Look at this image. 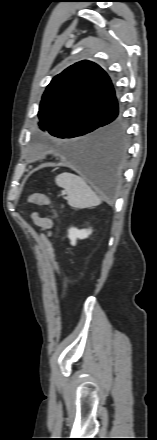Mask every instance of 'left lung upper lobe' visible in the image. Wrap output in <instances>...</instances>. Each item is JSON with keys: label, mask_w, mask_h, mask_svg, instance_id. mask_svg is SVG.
Instances as JSON below:
<instances>
[{"label": "left lung upper lobe", "mask_w": 157, "mask_h": 440, "mask_svg": "<svg viewBox=\"0 0 157 440\" xmlns=\"http://www.w3.org/2000/svg\"><path fill=\"white\" fill-rule=\"evenodd\" d=\"M117 112L110 78L100 66L83 60L55 76L47 86L38 112L39 126L61 139L90 138Z\"/></svg>", "instance_id": "5c2ea615"}]
</instances>
